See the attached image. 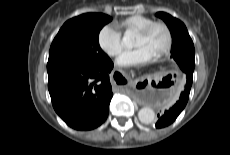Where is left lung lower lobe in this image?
<instances>
[{"label":"left lung lower lobe","instance_id":"0a47b994","mask_svg":"<svg viewBox=\"0 0 230 155\" xmlns=\"http://www.w3.org/2000/svg\"><path fill=\"white\" fill-rule=\"evenodd\" d=\"M192 76L193 75L190 74L186 76V84L180 94L178 101L169 110L165 111V113L161 117H159L158 115L159 120L156 123V128H163L170 125L172 122L175 121V119L184 109V107L187 104L189 94H190V89L192 86Z\"/></svg>","mask_w":230,"mask_h":155}]
</instances>
